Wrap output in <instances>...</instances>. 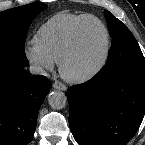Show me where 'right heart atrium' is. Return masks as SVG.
I'll return each instance as SVG.
<instances>
[{"label": "right heart atrium", "mask_w": 145, "mask_h": 145, "mask_svg": "<svg viewBox=\"0 0 145 145\" xmlns=\"http://www.w3.org/2000/svg\"><path fill=\"white\" fill-rule=\"evenodd\" d=\"M24 55L35 72L39 74L51 71L54 68V61L34 45H27L24 49Z\"/></svg>", "instance_id": "obj_1"}]
</instances>
